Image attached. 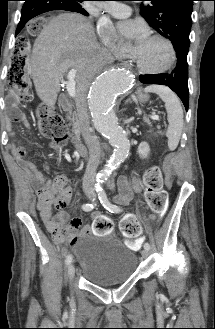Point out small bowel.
Listing matches in <instances>:
<instances>
[{
    "instance_id": "obj_1",
    "label": "small bowel",
    "mask_w": 215,
    "mask_h": 329,
    "mask_svg": "<svg viewBox=\"0 0 215 329\" xmlns=\"http://www.w3.org/2000/svg\"><path fill=\"white\" fill-rule=\"evenodd\" d=\"M13 117L17 120L26 123L25 119L19 114L17 109H14ZM13 142V154L16 160L25 168L27 171L30 180L36 188V194L38 197L37 209L40 212V215L47 226L48 230L53 233V226L59 225L64 230L70 231H79V234H70V240L72 245H76L80 236H86L93 232L94 236H112L113 230V221L112 220H91L90 226L83 225L80 218L73 219L69 221L68 216L60 211L56 215L53 214V206L46 205L43 199V192L51 188L56 183H63V198L65 205H67L73 195V189L71 186H65L67 183V178L65 176H57L54 179H49L45 177L35 166L34 162L28 158V151L26 148L22 147L19 144V141L16 139L12 140ZM119 194L116 196V201L119 203H127L131 197L132 192L139 193L142 191L143 187L140 181L136 178L131 181L125 177L121 176L118 180ZM131 208H141L142 202L137 201L135 198L130 202ZM95 217H102L100 213H94ZM54 234V233H53ZM55 235V234H54ZM55 238L58 241L63 240ZM144 241L143 237L136 239L134 248L137 250L141 247Z\"/></svg>"
}]
</instances>
